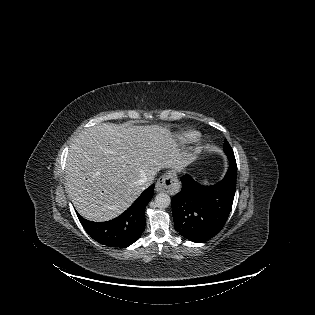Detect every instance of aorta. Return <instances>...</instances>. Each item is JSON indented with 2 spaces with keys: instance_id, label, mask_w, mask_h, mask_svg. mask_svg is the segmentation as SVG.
Segmentation results:
<instances>
[{
  "instance_id": "obj_1",
  "label": "aorta",
  "mask_w": 315,
  "mask_h": 315,
  "mask_svg": "<svg viewBox=\"0 0 315 315\" xmlns=\"http://www.w3.org/2000/svg\"><path fill=\"white\" fill-rule=\"evenodd\" d=\"M170 203V196L166 193H159L155 197V204L158 208H167Z\"/></svg>"
}]
</instances>
